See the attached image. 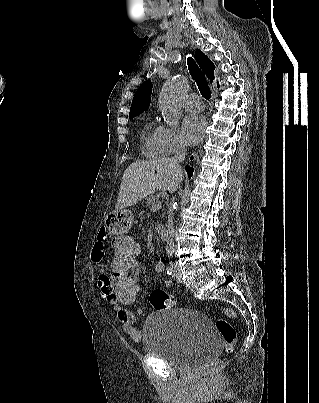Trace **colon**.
<instances>
[{
  "instance_id": "obj_1",
  "label": "colon",
  "mask_w": 319,
  "mask_h": 403,
  "mask_svg": "<svg viewBox=\"0 0 319 403\" xmlns=\"http://www.w3.org/2000/svg\"><path fill=\"white\" fill-rule=\"evenodd\" d=\"M107 231V230H106ZM138 254H141L139 234H113V252L111 254V273H113V296L117 304H138L139 282H135L133 268L140 267ZM149 301L156 310L169 309L174 305L173 297L164 289H155L150 293ZM136 310V307H133ZM226 318L216 321V328L224 342L225 350L230 353L236 344V331L229 319L235 317L233 310H220ZM220 366L218 359H212L204 376L209 377Z\"/></svg>"
}]
</instances>
